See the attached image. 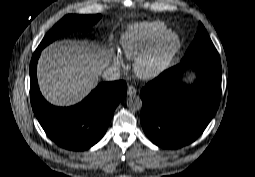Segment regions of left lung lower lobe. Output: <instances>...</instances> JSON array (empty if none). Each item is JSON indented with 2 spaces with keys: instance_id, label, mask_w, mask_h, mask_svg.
Here are the masks:
<instances>
[{
  "instance_id": "0a47b994",
  "label": "left lung lower lobe",
  "mask_w": 255,
  "mask_h": 177,
  "mask_svg": "<svg viewBox=\"0 0 255 177\" xmlns=\"http://www.w3.org/2000/svg\"><path fill=\"white\" fill-rule=\"evenodd\" d=\"M187 67L197 70L192 87L180 84ZM221 95L219 56L184 59L164 71L141 90V124L148 138L164 148H178L193 142L215 115Z\"/></svg>"
}]
</instances>
